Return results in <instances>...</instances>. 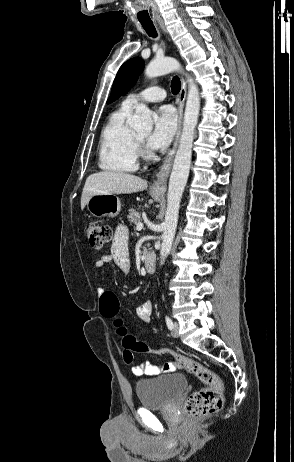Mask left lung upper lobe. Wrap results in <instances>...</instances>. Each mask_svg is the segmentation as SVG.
Wrapping results in <instances>:
<instances>
[{
  "mask_svg": "<svg viewBox=\"0 0 294 462\" xmlns=\"http://www.w3.org/2000/svg\"><path fill=\"white\" fill-rule=\"evenodd\" d=\"M144 66V61L139 57L132 58L125 62L120 67L115 77L107 103H111L121 95L128 93L131 87L136 83L138 76L142 73Z\"/></svg>",
  "mask_w": 294,
  "mask_h": 462,
  "instance_id": "obj_1",
  "label": "left lung upper lobe"
}]
</instances>
